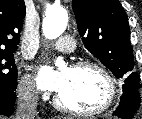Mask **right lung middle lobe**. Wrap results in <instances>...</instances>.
Listing matches in <instances>:
<instances>
[{
	"label": "right lung middle lobe",
	"mask_w": 142,
	"mask_h": 119,
	"mask_svg": "<svg viewBox=\"0 0 142 119\" xmlns=\"http://www.w3.org/2000/svg\"><path fill=\"white\" fill-rule=\"evenodd\" d=\"M0 50V91H15L17 88V67L13 52Z\"/></svg>",
	"instance_id": "right-lung-middle-lobe-1"
}]
</instances>
